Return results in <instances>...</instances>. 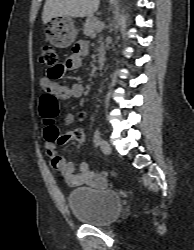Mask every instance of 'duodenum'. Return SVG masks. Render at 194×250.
Masks as SVG:
<instances>
[{
	"label": "duodenum",
	"instance_id": "obj_1",
	"mask_svg": "<svg viewBox=\"0 0 194 250\" xmlns=\"http://www.w3.org/2000/svg\"><path fill=\"white\" fill-rule=\"evenodd\" d=\"M106 63V57L104 53H100L98 57V66L99 68H103Z\"/></svg>",
	"mask_w": 194,
	"mask_h": 250
}]
</instances>
